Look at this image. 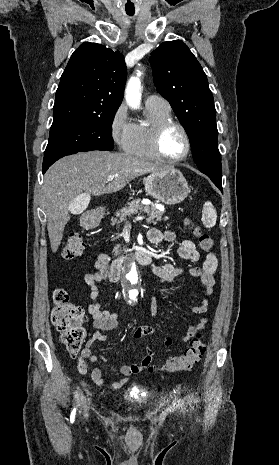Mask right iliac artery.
<instances>
[{
	"label": "right iliac artery",
	"mask_w": 279,
	"mask_h": 465,
	"mask_svg": "<svg viewBox=\"0 0 279 465\" xmlns=\"http://www.w3.org/2000/svg\"><path fill=\"white\" fill-rule=\"evenodd\" d=\"M76 409L72 411L71 417L73 418L75 416Z\"/></svg>",
	"instance_id": "right-iliac-artery-1"
}]
</instances>
